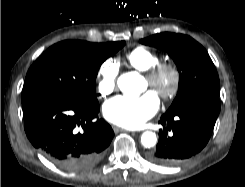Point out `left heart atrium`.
<instances>
[{
  "label": "left heart atrium",
  "mask_w": 245,
  "mask_h": 187,
  "mask_svg": "<svg viewBox=\"0 0 245 187\" xmlns=\"http://www.w3.org/2000/svg\"><path fill=\"white\" fill-rule=\"evenodd\" d=\"M160 101L155 91L149 90L136 98L117 96L103 106L104 117L125 128H138L158 110Z\"/></svg>",
  "instance_id": "left-heart-atrium-1"
}]
</instances>
